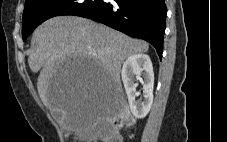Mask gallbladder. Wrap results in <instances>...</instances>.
<instances>
[{
  "mask_svg": "<svg viewBox=\"0 0 227 142\" xmlns=\"http://www.w3.org/2000/svg\"><path fill=\"white\" fill-rule=\"evenodd\" d=\"M56 116H57L58 118H60L61 115H60V114H56Z\"/></svg>",
  "mask_w": 227,
  "mask_h": 142,
  "instance_id": "bac80fb5",
  "label": "gallbladder"
}]
</instances>
